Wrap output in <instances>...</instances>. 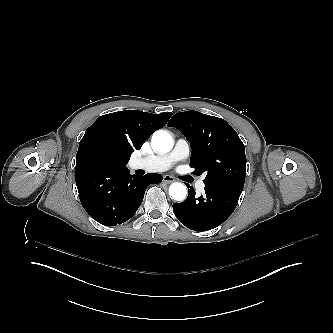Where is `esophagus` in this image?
<instances>
[{
  "instance_id": "obj_1",
  "label": "esophagus",
  "mask_w": 333,
  "mask_h": 333,
  "mask_svg": "<svg viewBox=\"0 0 333 333\" xmlns=\"http://www.w3.org/2000/svg\"><path fill=\"white\" fill-rule=\"evenodd\" d=\"M163 181L166 183H172L175 181V178L170 175H164Z\"/></svg>"
}]
</instances>
